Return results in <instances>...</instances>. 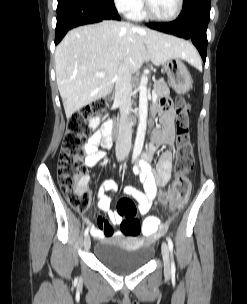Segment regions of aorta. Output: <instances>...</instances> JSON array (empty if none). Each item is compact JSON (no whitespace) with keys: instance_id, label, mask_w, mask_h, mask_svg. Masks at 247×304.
<instances>
[{"instance_id":"aorta-1","label":"aorta","mask_w":247,"mask_h":304,"mask_svg":"<svg viewBox=\"0 0 247 304\" xmlns=\"http://www.w3.org/2000/svg\"><path fill=\"white\" fill-rule=\"evenodd\" d=\"M147 83L148 78L146 75H142L139 85V125L137 129V135L135 139L134 150L141 151L147 126V113H148V97H147Z\"/></svg>"}]
</instances>
